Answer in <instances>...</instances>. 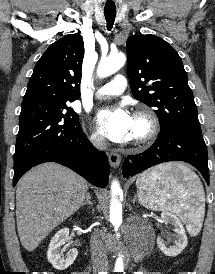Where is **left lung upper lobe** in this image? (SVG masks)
<instances>
[{
  "instance_id": "1",
  "label": "left lung upper lobe",
  "mask_w": 215,
  "mask_h": 274,
  "mask_svg": "<svg viewBox=\"0 0 215 274\" xmlns=\"http://www.w3.org/2000/svg\"><path fill=\"white\" fill-rule=\"evenodd\" d=\"M127 73L136 99L155 107L161 130L200 129L197 107L178 53L154 35L127 40Z\"/></svg>"
}]
</instances>
